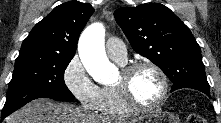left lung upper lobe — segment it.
<instances>
[{
  "instance_id": "5c2ea615",
  "label": "left lung upper lobe",
  "mask_w": 221,
  "mask_h": 123,
  "mask_svg": "<svg viewBox=\"0 0 221 123\" xmlns=\"http://www.w3.org/2000/svg\"><path fill=\"white\" fill-rule=\"evenodd\" d=\"M115 19L134 51L151 60L172 81V90L209 91L200 46L189 28L159 3L119 8Z\"/></svg>"
}]
</instances>
